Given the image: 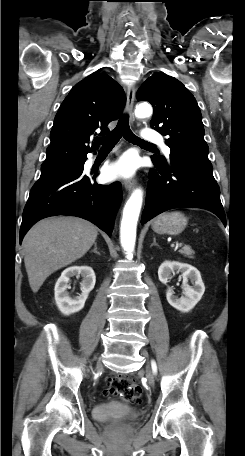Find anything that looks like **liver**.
Masks as SVG:
<instances>
[{"mask_svg":"<svg viewBox=\"0 0 245 456\" xmlns=\"http://www.w3.org/2000/svg\"><path fill=\"white\" fill-rule=\"evenodd\" d=\"M97 235L95 225L77 217H50L36 223L23 240L32 291L37 293L48 276L85 255Z\"/></svg>","mask_w":245,"mask_h":456,"instance_id":"obj_1","label":"liver"}]
</instances>
